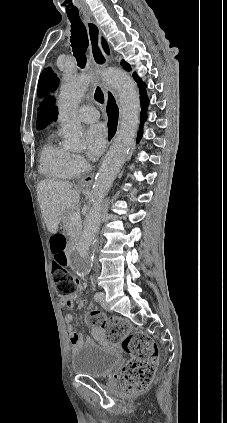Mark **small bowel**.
I'll return each instance as SVG.
<instances>
[{"label": "small bowel", "mask_w": 227, "mask_h": 423, "mask_svg": "<svg viewBox=\"0 0 227 423\" xmlns=\"http://www.w3.org/2000/svg\"><path fill=\"white\" fill-rule=\"evenodd\" d=\"M60 303H61L62 306H68V307H73L75 305L78 306V307H84L85 306L84 301L76 302L74 295L70 296V297H61ZM64 321H65L68 332H70V343H71V345L75 348L80 346L83 342V338H82V335L80 333L73 332V325H72L73 316L71 314H66L65 317H64ZM92 335H93L95 340L104 341V334H103L102 330L95 328V329L92 330Z\"/></svg>", "instance_id": "obj_1"}]
</instances>
